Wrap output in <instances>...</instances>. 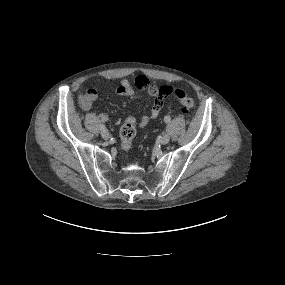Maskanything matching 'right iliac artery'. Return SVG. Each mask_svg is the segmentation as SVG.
I'll list each match as a JSON object with an SVG mask.
<instances>
[{
  "label": "right iliac artery",
  "instance_id": "obj_1",
  "mask_svg": "<svg viewBox=\"0 0 285 285\" xmlns=\"http://www.w3.org/2000/svg\"><path fill=\"white\" fill-rule=\"evenodd\" d=\"M100 130H101V131L105 130V125L101 124V125H100Z\"/></svg>",
  "mask_w": 285,
  "mask_h": 285
}]
</instances>
